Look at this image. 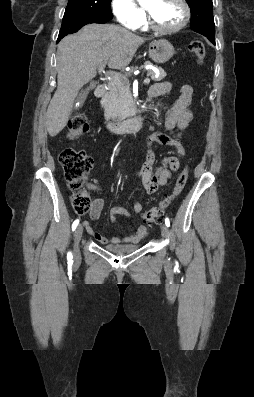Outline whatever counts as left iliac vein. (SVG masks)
<instances>
[{
  "label": "left iliac vein",
  "mask_w": 254,
  "mask_h": 397,
  "mask_svg": "<svg viewBox=\"0 0 254 397\" xmlns=\"http://www.w3.org/2000/svg\"><path fill=\"white\" fill-rule=\"evenodd\" d=\"M161 234L164 238H166L169 234V228L166 224L161 225Z\"/></svg>",
  "instance_id": "4c4485c4"
}]
</instances>
